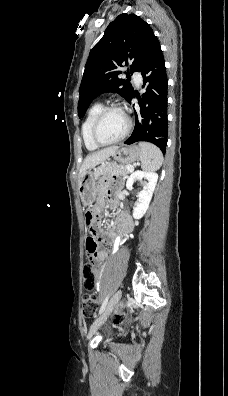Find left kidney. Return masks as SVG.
<instances>
[{"label":"left kidney","instance_id":"obj_1","mask_svg":"<svg viewBox=\"0 0 228 396\" xmlns=\"http://www.w3.org/2000/svg\"><path fill=\"white\" fill-rule=\"evenodd\" d=\"M142 179H145V181L143 183V190L137 194L138 202L133 208L134 219H140L146 213L155 190L158 174L155 172H144L137 170L128 177L126 182L127 189H132L134 182L137 180L141 181Z\"/></svg>","mask_w":228,"mask_h":396}]
</instances>
